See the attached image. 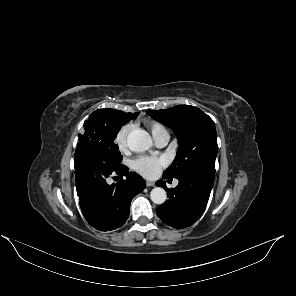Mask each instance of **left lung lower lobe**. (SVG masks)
Segmentation results:
<instances>
[{"label": "left lung lower lobe", "instance_id": "1", "mask_svg": "<svg viewBox=\"0 0 296 296\" xmlns=\"http://www.w3.org/2000/svg\"><path fill=\"white\" fill-rule=\"evenodd\" d=\"M214 178L215 172L198 170L179 176V184L173 189H168L165 181H157L156 185L163 187L169 198L157 208L160 219L174 228L194 224L206 208Z\"/></svg>", "mask_w": 296, "mask_h": 296}]
</instances>
